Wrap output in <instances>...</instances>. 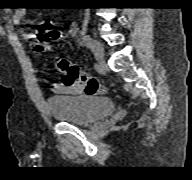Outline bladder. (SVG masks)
<instances>
[{
    "label": "bladder",
    "mask_w": 192,
    "mask_h": 180,
    "mask_svg": "<svg viewBox=\"0 0 192 180\" xmlns=\"http://www.w3.org/2000/svg\"><path fill=\"white\" fill-rule=\"evenodd\" d=\"M48 107L55 121L77 126L90 125L109 116L115 109L110 99L86 94L50 97Z\"/></svg>",
    "instance_id": "obj_1"
}]
</instances>
